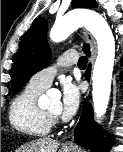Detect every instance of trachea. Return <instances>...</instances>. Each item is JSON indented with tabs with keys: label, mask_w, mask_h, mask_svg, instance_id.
Wrapping results in <instances>:
<instances>
[{
	"label": "trachea",
	"mask_w": 123,
	"mask_h": 152,
	"mask_svg": "<svg viewBox=\"0 0 123 152\" xmlns=\"http://www.w3.org/2000/svg\"><path fill=\"white\" fill-rule=\"evenodd\" d=\"M87 58L85 56L80 57L79 61H78V67L79 68H85L87 65Z\"/></svg>",
	"instance_id": "obj_1"
}]
</instances>
